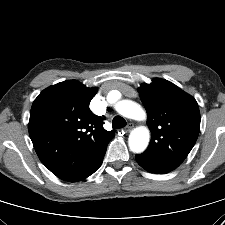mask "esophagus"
<instances>
[{"label":"esophagus","mask_w":225,"mask_h":225,"mask_svg":"<svg viewBox=\"0 0 225 225\" xmlns=\"http://www.w3.org/2000/svg\"><path fill=\"white\" fill-rule=\"evenodd\" d=\"M134 125L133 123H129L126 127H125V132H129L133 129Z\"/></svg>","instance_id":"esophagus-1"}]
</instances>
